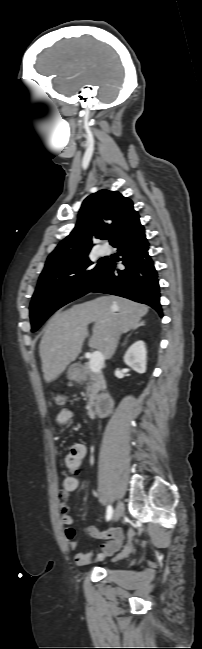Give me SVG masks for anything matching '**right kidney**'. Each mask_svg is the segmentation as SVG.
<instances>
[{"mask_svg":"<svg viewBox=\"0 0 202 649\" xmlns=\"http://www.w3.org/2000/svg\"><path fill=\"white\" fill-rule=\"evenodd\" d=\"M124 363L140 374L146 371L147 352L143 341H137L128 348Z\"/></svg>","mask_w":202,"mask_h":649,"instance_id":"1","label":"right kidney"}]
</instances>
